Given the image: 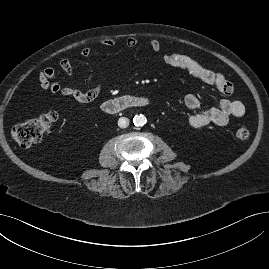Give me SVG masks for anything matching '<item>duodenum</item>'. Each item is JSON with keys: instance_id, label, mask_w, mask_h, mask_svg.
<instances>
[{"instance_id": "obj_1", "label": "duodenum", "mask_w": 269, "mask_h": 269, "mask_svg": "<svg viewBox=\"0 0 269 269\" xmlns=\"http://www.w3.org/2000/svg\"><path fill=\"white\" fill-rule=\"evenodd\" d=\"M150 104L146 97L122 96L102 103V110L107 114H117L129 108H142Z\"/></svg>"}]
</instances>
